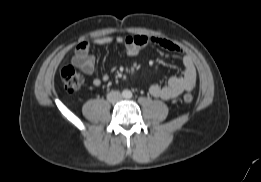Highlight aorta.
<instances>
[{
    "instance_id": "1",
    "label": "aorta",
    "mask_w": 261,
    "mask_h": 182,
    "mask_svg": "<svg viewBox=\"0 0 261 182\" xmlns=\"http://www.w3.org/2000/svg\"><path fill=\"white\" fill-rule=\"evenodd\" d=\"M126 97L129 98L130 97V93L128 95H126Z\"/></svg>"
}]
</instances>
